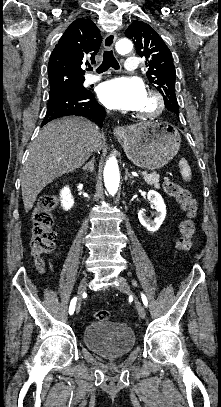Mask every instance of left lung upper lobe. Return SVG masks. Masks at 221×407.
<instances>
[{"label":"left lung upper lobe","instance_id":"5c2ea615","mask_svg":"<svg viewBox=\"0 0 221 407\" xmlns=\"http://www.w3.org/2000/svg\"><path fill=\"white\" fill-rule=\"evenodd\" d=\"M125 35L135 43L137 54L146 58L148 80L162 94L166 108L178 114L175 66L172 54L163 39L150 25L142 21L133 22L125 31Z\"/></svg>","mask_w":221,"mask_h":407}]
</instances>
